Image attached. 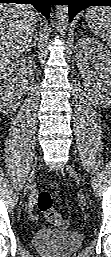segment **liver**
<instances>
[{"mask_svg":"<svg viewBox=\"0 0 111 257\" xmlns=\"http://www.w3.org/2000/svg\"><path fill=\"white\" fill-rule=\"evenodd\" d=\"M42 18L33 7L25 4L0 5V65H9L29 46Z\"/></svg>","mask_w":111,"mask_h":257,"instance_id":"6515ba94","label":"liver"}]
</instances>
